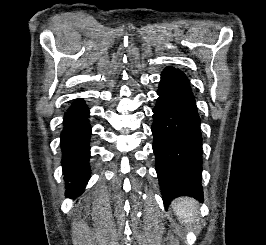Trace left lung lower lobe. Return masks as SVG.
I'll return each instance as SVG.
<instances>
[{"label":"left lung lower lobe","instance_id":"obj_1","mask_svg":"<svg viewBox=\"0 0 266 245\" xmlns=\"http://www.w3.org/2000/svg\"><path fill=\"white\" fill-rule=\"evenodd\" d=\"M153 109V151L165 207L179 196L203 201L200 118L186 75L166 67Z\"/></svg>","mask_w":266,"mask_h":245}]
</instances>
